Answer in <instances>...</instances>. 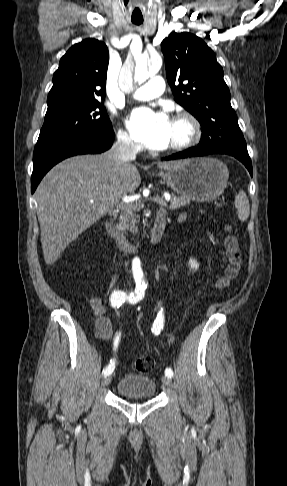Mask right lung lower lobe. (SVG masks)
Returning a JSON list of instances; mask_svg holds the SVG:
<instances>
[{"label": "right lung lower lobe", "instance_id": "obj_1", "mask_svg": "<svg viewBox=\"0 0 287 486\" xmlns=\"http://www.w3.org/2000/svg\"><path fill=\"white\" fill-rule=\"evenodd\" d=\"M113 139L111 129L94 138L37 143L33 153L31 192L34 193L43 176L58 162L74 155L104 152L112 146Z\"/></svg>", "mask_w": 287, "mask_h": 486}]
</instances>
